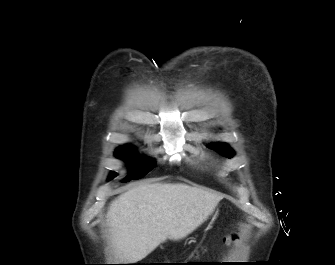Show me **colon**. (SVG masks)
Listing matches in <instances>:
<instances>
[{
  "label": "colon",
  "mask_w": 335,
  "mask_h": 265,
  "mask_svg": "<svg viewBox=\"0 0 335 265\" xmlns=\"http://www.w3.org/2000/svg\"><path fill=\"white\" fill-rule=\"evenodd\" d=\"M235 236H228L225 240H226V242H233V241H235Z\"/></svg>",
  "instance_id": "1"
}]
</instances>
